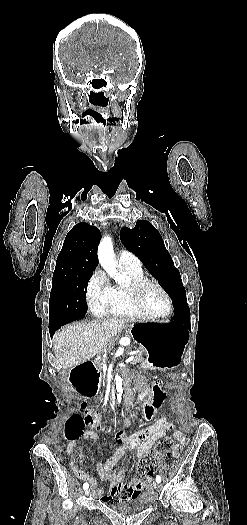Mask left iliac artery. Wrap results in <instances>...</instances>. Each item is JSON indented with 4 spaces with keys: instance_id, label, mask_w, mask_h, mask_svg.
<instances>
[{
    "instance_id": "44dca946",
    "label": "left iliac artery",
    "mask_w": 247,
    "mask_h": 525,
    "mask_svg": "<svg viewBox=\"0 0 247 525\" xmlns=\"http://www.w3.org/2000/svg\"><path fill=\"white\" fill-rule=\"evenodd\" d=\"M156 482L157 483H160L161 482V477L159 475L156 476Z\"/></svg>"
}]
</instances>
